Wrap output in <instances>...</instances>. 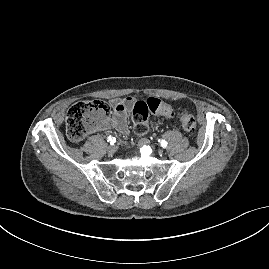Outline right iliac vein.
I'll use <instances>...</instances> for the list:
<instances>
[{
  "mask_svg": "<svg viewBox=\"0 0 269 269\" xmlns=\"http://www.w3.org/2000/svg\"><path fill=\"white\" fill-rule=\"evenodd\" d=\"M116 150H117V148H116V146H114V145H109V146L107 147V151H108L109 153H111V154L115 153Z\"/></svg>",
  "mask_w": 269,
  "mask_h": 269,
  "instance_id": "1",
  "label": "right iliac vein"
}]
</instances>
